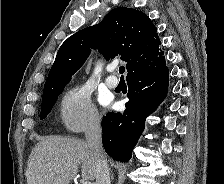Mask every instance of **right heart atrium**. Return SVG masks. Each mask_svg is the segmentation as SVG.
Wrapping results in <instances>:
<instances>
[{
	"label": "right heart atrium",
	"instance_id": "d8ad5b80",
	"mask_svg": "<svg viewBox=\"0 0 224 184\" xmlns=\"http://www.w3.org/2000/svg\"><path fill=\"white\" fill-rule=\"evenodd\" d=\"M59 113L62 124L72 132L87 131L100 125L97 109L83 85H76L64 93Z\"/></svg>",
	"mask_w": 224,
	"mask_h": 184
}]
</instances>
